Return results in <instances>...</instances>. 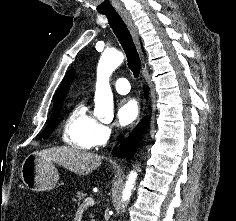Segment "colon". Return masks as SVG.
Here are the masks:
<instances>
[{"label": "colon", "mask_w": 236, "mask_h": 221, "mask_svg": "<svg viewBox=\"0 0 236 221\" xmlns=\"http://www.w3.org/2000/svg\"><path fill=\"white\" fill-rule=\"evenodd\" d=\"M15 221H25V220H23L21 218H17V219H15Z\"/></svg>", "instance_id": "5ec220e1"}]
</instances>
